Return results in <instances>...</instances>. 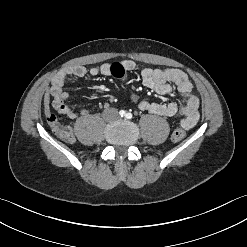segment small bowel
Masks as SVG:
<instances>
[{
	"label": "small bowel",
	"instance_id": "1",
	"mask_svg": "<svg viewBox=\"0 0 247 247\" xmlns=\"http://www.w3.org/2000/svg\"><path fill=\"white\" fill-rule=\"evenodd\" d=\"M127 73L136 69L133 61L125 60L118 63ZM113 63H104L96 67L87 69L84 66H71L57 74L51 83L50 95L52 106L60 114L68 119H74L78 114L67 105L68 93L64 90V84L69 77L82 78L90 76H110L112 74ZM144 86L160 95H167L172 92L175 86L184 98V104L178 106L174 102L154 103L147 102L138 104V107L149 113L180 120L181 125L186 128L194 127L199 120V100L193 93V87L185 72L180 69H153L143 68L140 71ZM87 110L80 111V115L87 114Z\"/></svg>",
	"mask_w": 247,
	"mask_h": 247
}]
</instances>
